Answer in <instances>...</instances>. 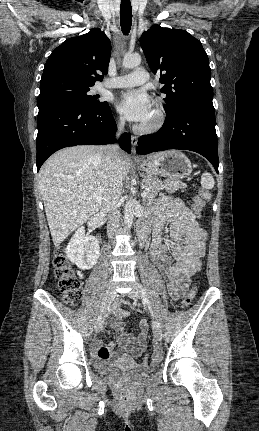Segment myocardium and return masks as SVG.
Instances as JSON below:
<instances>
[{
	"instance_id": "1",
	"label": "myocardium",
	"mask_w": 259,
	"mask_h": 431,
	"mask_svg": "<svg viewBox=\"0 0 259 431\" xmlns=\"http://www.w3.org/2000/svg\"><path fill=\"white\" fill-rule=\"evenodd\" d=\"M154 119L149 124H141L137 130L143 134H152L158 132L165 124L166 113L162 103L157 100L153 109Z\"/></svg>"
}]
</instances>
